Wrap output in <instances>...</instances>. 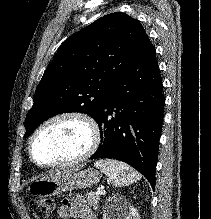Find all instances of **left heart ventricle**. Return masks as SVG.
Listing matches in <instances>:
<instances>
[{
    "instance_id": "obj_1",
    "label": "left heart ventricle",
    "mask_w": 211,
    "mask_h": 219,
    "mask_svg": "<svg viewBox=\"0 0 211 219\" xmlns=\"http://www.w3.org/2000/svg\"><path fill=\"white\" fill-rule=\"evenodd\" d=\"M89 143V131L80 121L61 119L46 126L33 144V155L42 164L73 159Z\"/></svg>"
}]
</instances>
